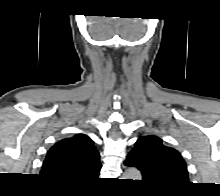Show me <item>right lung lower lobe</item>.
I'll list each match as a JSON object with an SVG mask.
<instances>
[{
  "instance_id": "right-lung-lower-lobe-1",
  "label": "right lung lower lobe",
  "mask_w": 220,
  "mask_h": 196,
  "mask_svg": "<svg viewBox=\"0 0 220 196\" xmlns=\"http://www.w3.org/2000/svg\"><path fill=\"white\" fill-rule=\"evenodd\" d=\"M57 186H63V187H72V185H66V184H59V183H54Z\"/></svg>"
}]
</instances>
